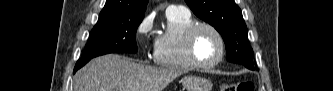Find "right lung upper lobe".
I'll return each mask as SVG.
<instances>
[{
  "instance_id": "right-lung-upper-lobe-1",
  "label": "right lung upper lobe",
  "mask_w": 333,
  "mask_h": 91,
  "mask_svg": "<svg viewBox=\"0 0 333 91\" xmlns=\"http://www.w3.org/2000/svg\"><path fill=\"white\" fill-rule=\"evenodd\" d=\"M148 0H107L99 18L144 17Z\"/></svg>"
}]
</instances>
